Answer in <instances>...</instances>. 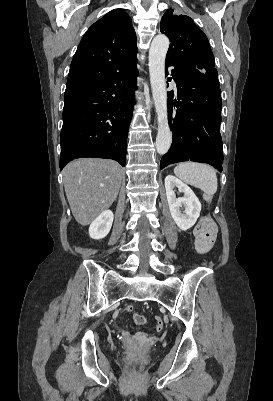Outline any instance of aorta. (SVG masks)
<instances>
[{"instance_id":"obj_1","label":"aorta","mask_w":273,"mask_h":401,"mask_svg":"<svg viewBox=\"0 0 273 401\" xmlns=\"http://www.w3.org/2000/svg\"><path fill=\"white\" fill-rule=\"evenodd\" d=\"M170 41L165 35H157L149 50V74L152 96L157 113V153L163 155L168 152L172 143V133L168 125L167 91L165 81V58Z\"/></svg>"}]
</instances>
